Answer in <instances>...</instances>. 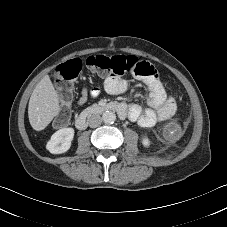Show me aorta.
Listing matches in <instances>:
<instances>
[{"label":"aorta","mask_w":227,"mask_h":227,"mask_svg":"<svg viewBox=\"0 0 227 227\" xmlns=\"http://www.w3.org/2000/svg\"><path fill=\"white\" fill-rule=\"evenodd\" d=\"M102 120L106 123V124H113L114 121L116 120V115L114 112L112 111H105L102 115Z\"/></svg>","instance_id":"aorta-1"}]
</instances>
